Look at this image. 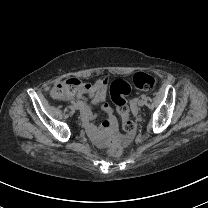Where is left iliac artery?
<instances>
[{"mask_svg": "<svg viewBox=\"0 0 208 208\" xmlns=\"http://www.w3.org/2000/svg\"><path fill=\"white\" fill-rule=\"evenodd\" d=\"M141 98L142 99L146 98V95L145 94L141 95Z\"/></svg>", "mask_w": 208, "mask_h": 208, "instance_id": "1", "label": "left iliac artery"}]
</instances>
